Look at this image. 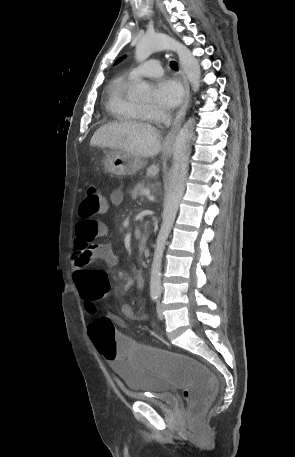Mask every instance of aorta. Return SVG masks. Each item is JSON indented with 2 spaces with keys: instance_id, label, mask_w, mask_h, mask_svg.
I'll return each instance as SVG.
<instances>
[{
  "instance_id": "aorta-1",
  "label": "aorta",
  "mask_w": 295,
  "mask_h": 457,
  "mask_svg": "<svg viewBox=\"0 0 295 457\" xmlns=\"http://www.w3.org/2000/svg\"><path fill=\"white\" fill-rule=\"evenodd\" d=\"M170 49L177 53L181 67L186 74L192 90L197 92L200 87L201 69L198 59L182 43L168 35L154 33L144 36L136 45L135 58L138 62L145 61L152 53ZM150 94L147 82L139 81L135 86V95L146 98ZM196 120L189 118L176 136L173 147V166L169 178V188L162 214V225L157 236L150 276V292L161 293V267L166 241L172 230L179 204L182 199L188 172L190 145L194 135Z\"/></svg>"
}]
</instances>
